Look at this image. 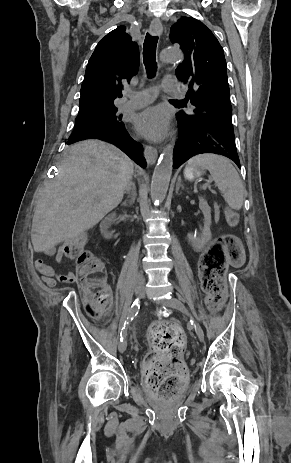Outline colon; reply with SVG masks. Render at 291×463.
I'll return each mask as SVG.
<instances>
[{
    "instance_id": "5ec220e1",
    "label": "colon",
    "mask_w": 291,
    "mask_h": 463,
    "mask_svg": "<svg viewBox=\"0 0 291 463\" xmlns=\"http://www.w3.org/2000/svg\"><path fill=\"white\" fill-rule=\"evenodd\" d=\"M227 215L230 222H235L236 215L232 211L228 210ZM62 249L66 257L75 261L86 312L91 317H99L111 303L102 263L86 249L83 236L71 239ZM240 257V241L233 234L220 236L202 255L200 275L212 309H219L223 301L228 258L238 261ZM149 342L153 351L144 366L146 387L161 397H173L179 392L185 371L181 361L186 345L185 334L175 323H158L150 331Z\"/></svg>"
}]
</instances>
